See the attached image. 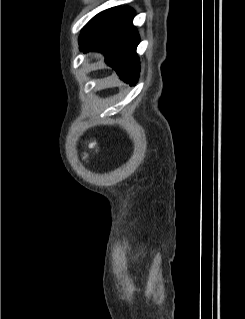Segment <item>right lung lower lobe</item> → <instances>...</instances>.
I'll return each instance as SVG.
<instances>
[{
  "label": "right lung lower lobe",
  "instance_id": "right-lung-lower-lobe-1",
  "mask_svg": "<svg viewBox=\"0 0 245 319\" xmlns=\"http://www.w3.org/2000/svg\"><path fill=\"white\" fill-rule=\"evenodd\" d=\"M134 15L132 8L122 7L97 25L83 30L80 35L82 50L104 53L106 63L131 85L136 84L140 71L136 54L140 40L132 24Z\"/></svg>",
  "mask_w": 245,
  "mask_h": 319
}]
</instances>
